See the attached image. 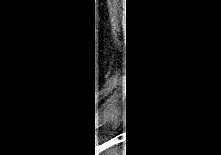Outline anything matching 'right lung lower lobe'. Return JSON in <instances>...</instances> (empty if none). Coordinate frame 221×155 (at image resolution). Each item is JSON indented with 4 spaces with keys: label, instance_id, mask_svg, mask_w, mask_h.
Returning <instances> with one entry per match:
<instances>
[{
    "label": "right lung lower lobe",
    "instance_id": "obj_1",
    "mask_svg": "<svg viewBox=\"0 0 221 155\" xmlns=\"http://www.w3.org/2000/svg\"><path fill=\"white\" fill-rule=\"evenodd\" d=\"M126 144H127V147L130 149V147L132 145V142H131V140L129 138L126 139Z\"/></svg>",
    "mask_w": 221,
    "mask_h": 155
}]
</instances>
